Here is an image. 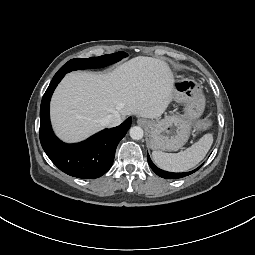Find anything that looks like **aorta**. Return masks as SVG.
Here are the masks:
<instances>
[{
	"mask_svg": "<svg viewBox=\"0 0 255 255\" xmlns=\"http://www.w3.org/2000/svg\"><path fill=\"white\" fill-rule=\"evenodd\" d=\"M130 137L134 140H140L143 138V129L139 126H133L129 131Z\"/></svg>",
	"mask_w": 255,
	"mask_h": 255,
	"instance_id": "aorta-1",
	"label": "aorta"
}]
</instances>
